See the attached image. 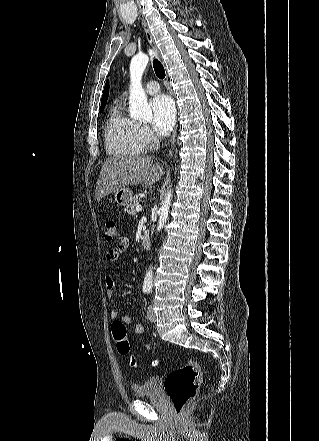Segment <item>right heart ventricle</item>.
Masks as SVG:
<instances>
[{
    "instance_id": "right-heart-ventricle-1",
    "label": "right heart ventricle",
    "mask_w": 319,
    "mask_h": 441,
    "mask_svg": "<svg viewBox=\"0 0 319 441\" xmlns=\"http://www.w3.org/2000/svg\"><path fill=\"white\" fill-rule=\"evenodd\" d=\"M104 136L111 155L134 156L144 150L138 138V123L124 114L119 103L109 111Z\"/></svg>"
}]
</instances>
